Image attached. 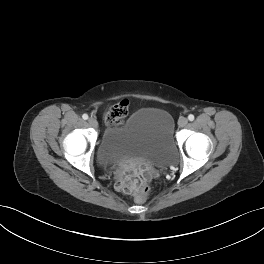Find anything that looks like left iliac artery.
<instances>
[{"label":"left iliac artery","mask_w":264,"mask_h":264,"mask_svg":"<svg viewBox=\"0 0 264 264\" xmlns=\"http://www.w3.org/2000/svg\"><path fill=\"white\" fill-rule=\"evenodd\" d=\"M188 119H189L190 121H193V120H194V115H193V114H190V115L188 116Z\"/></svg>","instance_id":"44dca946"}]
</instances>
